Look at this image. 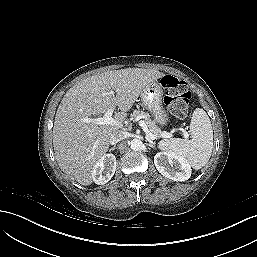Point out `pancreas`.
Returning <instances> with one entry per match:
<instances>
[{
	"label": "pancreas",
	"instance_id": "obj_1",
	"mask_svg": "<svg viewBox=\"0 0 257 257\" xmlns=\"http://www.w3.org/2000/svg\"><path fill=\"white\" fill-rule=\"evenodd\" d=\"M131 118L132 119L143 118L146 126L149 128V131L158 137H160L161 134L163 133L161 129L157 127L156 122L150 118V115L147 112L134 110L133 113L131 114Z\"/></svg>",
	"mask_w": 257,
	"mask_h": 257
}]
</instances>
